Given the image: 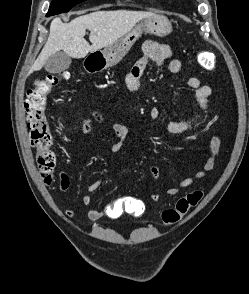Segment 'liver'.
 <instances>
[{"mask_svg":"<svg viewBox=\"0 0 249 294\" xmlns=\"http://www.w3.org/2000/svg\"><path fill=\"white\" fill-rule=\"evenodd\" d=\"M151 15L152 13L144 11L115 10L95 11L81 15L69 23L55 18L50 24L48 40L31 71H39L45 61L60 50L72 58L80 59L89 52L106 48L130 32L139 21ZM86 29L90 31L91 45L84 39Z\"/></svg>","mask_w":249,"mask_h":294,"instance_id":"liver-1","label":"liver"}]
</instances>
